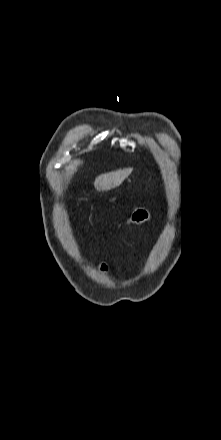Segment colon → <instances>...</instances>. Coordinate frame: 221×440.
Wrapping results in <instances>:
<instances>
[{
    "label": "colon",
    "mask_w": 221,
    "mask_h": 440,
    "mask_svg": "<svg viewBox=\"0 0 221 440\" xmlns=\"http://www.w3.org/2000/svg\"><path fill=\"white\" fill-rule=\"evenodd\" d=\"M149 214L145 209H136L131 217H130V221L132 223H141L144 222L148 219Z\"/></svg>",
    "instance_id": "1"
}]
</instances>
